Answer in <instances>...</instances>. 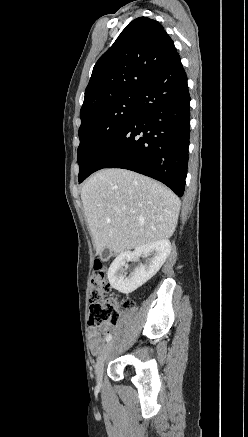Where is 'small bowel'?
Segmentation results:
<instances>
[{
	"label": "small bowel",
	"mask_w": 248,
	"mask_h": 437,
	"mask_svg": "<svg viewBox=\"0 0 248 437\" xmlns=\"http://www.w3.org/2000/svg\"><path fill=\"white\" fill-rule=\"evenodd\" d=\"M113 331V327L111 325H104L101 329H92L90 331V341L91 347L94 351H99L100 345L102 342L101 332L109 335Z\"/></svg>",
	"instance_id": "small-bowel-1"
}]
</instances>
